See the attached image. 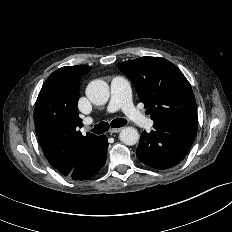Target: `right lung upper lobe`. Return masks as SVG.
Segmentation results:
<instances>
[{
	"label": "right lung upper lobe",
	"mask_w": 232,
	"mask_h": 232,
	"mask_svg": "<svg viewBox=\"0 0 232 232\" xmlns=\"http://www.w3.org/2000/svg\"><path fill=\"white\" fill-rule=\"evenodd\" d=\"M90 66H65L54 71L44 82L34 110L35 131L47 160L63 175L76 165L82 149L98 136H83L77 110L80 78Z\"/></svg>",
	"instance_id": "obj_1"
}]
</instances>
